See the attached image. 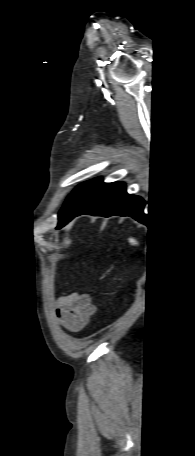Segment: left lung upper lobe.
Masks as SVG:
<instances>
[{
	"label": "left lung upper lobe",
	"mask_w": 195,
	"mask_h": 456,
	"mask_svg": "<svg viewBox=\"0 0 195 456\" xmlns=\"http://www.w3.org/2000/svg\"><path fill=\"white\" fill-rule=\"evenodd\" d=\"M104 185L105 183L102 182L101 178L89 180L78 185L68 196L63 208L59 212L57 229L63 227L65 221L92 199Z\"/></svg>",
	"instance_id": "left-lung-upper-lobe-1"
}]
</instances>
